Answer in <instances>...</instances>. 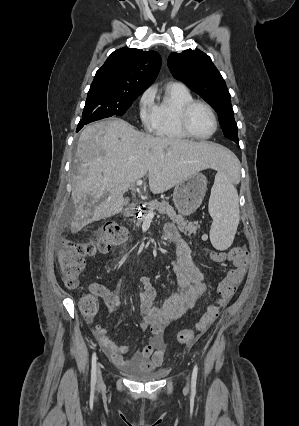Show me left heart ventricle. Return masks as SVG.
<instances>
[{
    "label": "left heart ventricle",
    "instance_id": "left-heart-ventricle-1",
    "mask_svg": "<svg viewBox=\"0 0 299 426\" xmlns=\"http://www.w3.org/2000/svg\"><path fill=\"white\" fill-rule=\"evenodd\" d=\"M189 122L192 131L200 136H206L214 129V121L211 113L201 105L196 106L192 110Z\"/></svg>",
    "mask_w": 299,
    "mask_h": 426
}]
</instances>
